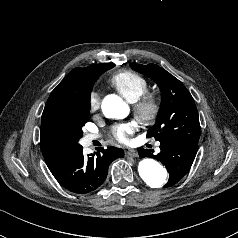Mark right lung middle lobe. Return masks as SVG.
<instances>
[{
  "instance_id": "right-lung-middle-lobe-1",
  "label": "right lung middle lobe",
  "mask_w": 238,
  "mask_h": 238,
  "mask_svg": "<svg viewBox=\"0 0 238 238\" xmlns=\"http://www.w3.org/2000/svg\"><path fill=\"white\" fill-rule=\"evenodd\" d=\"M113 67L114 64H100L81 76L68 98L48 115V130L78 148V141L83 136L82 127L90 112V92L93 84L102 73Z\"/></svg>"
}]
</instances>
